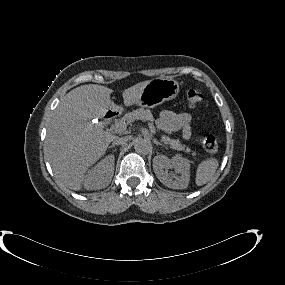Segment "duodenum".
<instances>
[{"label":"duodenum","mask_w":285,"mask_h":285,"mask_svg":"<svg viewBox=\"0 0 285 285\" xmlns=\"http://www.w3.org/2000/svg\"><path fill=\"white\" fill-rule=\"evenodd\" d=\"M116 111H108L102 115V125L108 126L112 120L116 117Z\"/></svg>","instance_id":"duodenum-1"}]
</instances>
